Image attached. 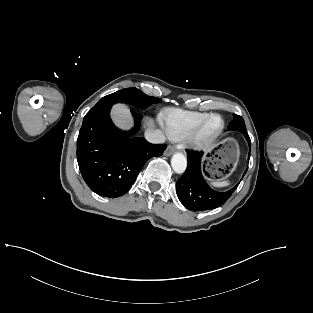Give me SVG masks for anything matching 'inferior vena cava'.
Masks as SVG:
<instances>
[{
	"label": "inferior vena cava",
	"instance_id": "obj_1",
	"mask_svg": "<svg viewBox=\"0 0 313 313\" xmlns=\"http://www.w3.org/2000/svg\"><path fill=\"white\" fill-rule=\"evenodd\" d=\"M145 138L154 144H160L165 142V136L160 130L147 129L145 131Z\"/></svg>",
	"mask_w": 313,
	"mask_h": 313
}]
</instances>
